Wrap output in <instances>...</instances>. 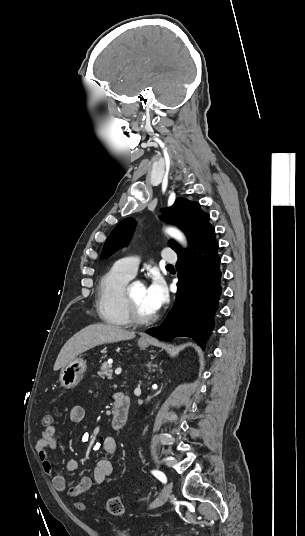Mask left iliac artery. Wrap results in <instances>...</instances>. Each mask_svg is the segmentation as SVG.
<instances>
[{
    "label": "left iliac artery",
    "mask_w": 305,
    "mask_h": 536,
    "mask_svg": "<svg viewBox=\"0 0 305 536\" xmlns=\"http://www.w3.org/2000/svg\"><path fill=\"white\" fill-rule=\"evenodd\" d=\"M152 473L154 474V476L156 478H158L162 483H166L167 482V478L165 476V474L161 471H152Z\"/></svg>",
    "instance_id": "left-iliac-artery-1"
}]
</instances>
